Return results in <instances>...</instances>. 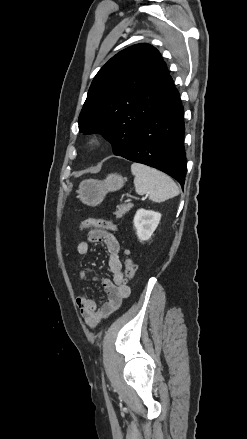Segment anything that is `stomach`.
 <instances>
[{"instance_id":"obj_1","label":"stomach","mask_w":247,"mask_h":439,"mask_svg":"<svg viewBox=\"0 0 247 439\" xmlns=\"http://www.w3.org/2000/svg\"><path fill=\"white\" fill-rule=\"evenodd\" d=\"M125 182L126 179L116 173L109 174L102 181L84 180L77 190L78 198L86 205L97 206L102 203L107 193L120 190Z\"/></svg>"}]
</instances>
